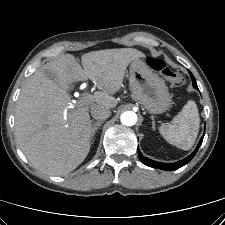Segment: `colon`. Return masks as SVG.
Instances as JSON below:
<instances>
[{"label": "colon", "instance_id": "colon-1", "mask_svg": "<svg viewBox=\"0 0 225 225\" xmlns=\"http://www.w3.org/2000/svg\"><path fill=\"white\" fill-rule=\"evenodd\" d=\"M147 63L154 71L162 74L170 85L174 87H181L184 85V77L179 72L169 68L162 59L149 57Z\"/></svg>", "mask_w": 225, "mask_h": 225}]
</instances>
